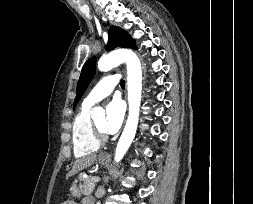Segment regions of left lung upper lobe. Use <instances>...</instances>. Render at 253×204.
<instances>
[{"mask_svg": "<svg viewBox=\"0 0 253 204\" xmlns=\"http://www.w3.org/2000/svg\"><path fill=\"white\" fill-rule=\"evenodd\" d=\"M116 47H128L137 49L134 40L123 29L112 26L108 33L107 50H112ZM96 70V57H92L84 64L81 75L77 84V95L74 101V107L81 99L83 93L87 89Z\"/></svg>", "mask_w": 253, "mask_h": 204, "instance_id": "5c2ea615", "label": "left lung upper lobe"}]
</instances>
